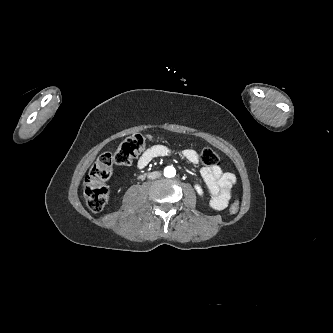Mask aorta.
<instances>
[{"instance_id":"762f6f07","label":"aorta","mask_w":333,"mask_h":333,"mask_svg":"<svg viewBox=\"0 0 333 333\" xmlns=\"http://www.w3.org/2000/svg\"><path fill=\"white\" fill-rule=\"evenodd\" d=\"M176 175V170L173 166H168L164 169V176L172 178Z\"/></svg>"}]
</instances>
